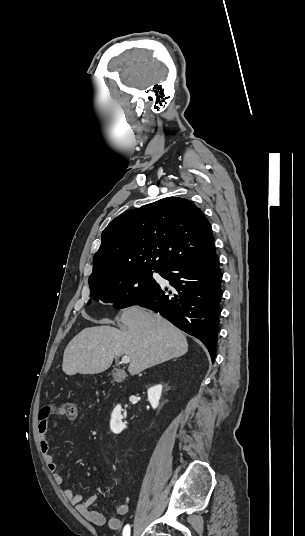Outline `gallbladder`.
<instances>
[{"label":"gallbladder","mask_w":305,"mask_h":536,"mask_svg":"<svg viewBox=\"0 0 305 536\" xmlns=\"http://www.w3.org/2000/svg\"><path fill=\"white\" fill-rule=\"evenodd\" d=\"M113 378H115V380H116V378H117V374H113Z\"/></svg>","instance_id":"1"}]
</instances>
